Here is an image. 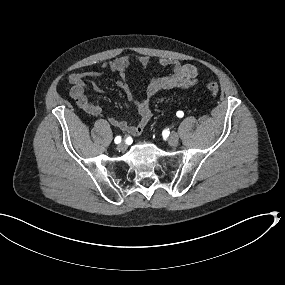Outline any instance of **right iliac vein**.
Wrapping results in <instances>:
<instances>
[{"instance_id":"63e3f726","label":"right iliac vein","mask_w":285,"mask_h":285,"mask_svg":"<svg viewBox=\"0 0 285 285\" xmlns=\"http://www.w3.org/2000/svg\"><path fill=\"white\" fill-rule=\"evenodd\" d=\"M117 148H118V150L123 151V150H125L127 148V145L124 142H121V143L118 144Z\"/></svg>"}]
</instances>
